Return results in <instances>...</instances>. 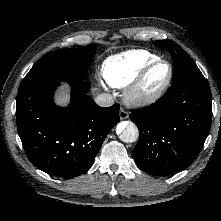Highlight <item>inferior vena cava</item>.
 I'll return each mask as SVG.
<instances>
[{
    "mask_svg": "<svg viewBox=\"0 0 221 221\" xmlns=\"http://www.w3.org/2000/svg\"><path fill=\"white\" fill-rule=\"evenodd\" d=\"M95 102L101 107H109L114 104V98L111 94L101 93L96 96Z\"/></svg>",
    "mask_w": 221,
    "mask_h": 221,
    "instance_id": "1",
    "label": "inferior vena cava"
}]
</instances>
